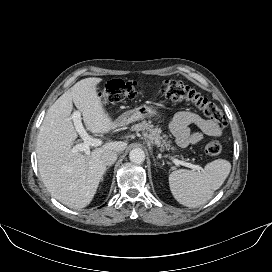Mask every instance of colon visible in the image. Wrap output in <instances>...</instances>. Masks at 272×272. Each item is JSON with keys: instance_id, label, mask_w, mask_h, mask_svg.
Masks as SVG:
<instances>
[{"instance_id": "obj_1", "label": "colon", "mask_w": 272, "mask_h": 272, "mask_svg": "<svg viewBox=\"0 0 272 272\" xmlns=\"http://www.w3.org/2000/svg\"><path fill=\"white\" fill-rule=\"evenodd\" d=\"M140 93L141 88L137 81L114 79L107 82L103 87L99 93V98L103 103H116L125 99L135 98ZM161 93L171 100L192 104L220 129L227 125L226 116L218 105L182 81H165L162 85ZM221 150L222 146L218 141H211L205 146V153L211 157L219 155Z\"/></svg>"}]
</instances>
